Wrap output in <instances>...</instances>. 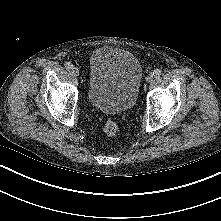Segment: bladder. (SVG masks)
<instances>
[{
    "mask_svg": "<svg viewBox=\"0 0 221 221\" xmlns=\"http://www.w3.org/2000/svg\"><path fill=\"white\" fill-rule=\"evenodd\" d=\"M142 77L134 54L114 46L100 47L89 61L87 101L105 114L124 113L136 104Z\"/></svg>",
    "mask_w": 221,
    "mask_h": 221,
    "instance_id": "obj_1",
    "label": "bladder"
}]
</instances>
